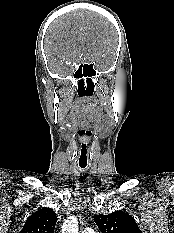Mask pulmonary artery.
Instances as JSON below:
<instances>
[{
  "label": "pulmonary artery",
  "mask_w": 174,
  "mask_h": 233,
  "mask_svg": "<svg viewBox=\"0 0 174 233\" xmlns=\"http://www.w3.org/2000/svg\"><path fill=\"white\" fill-rule=\"evenodd\" d=\"M83 233H96V232H94V230L92 228H85Z\"/></svg>",
  "instance_id": "obj_1"
}]
</instances>
